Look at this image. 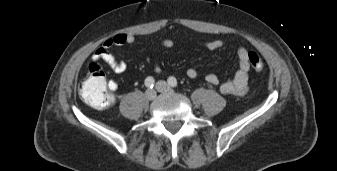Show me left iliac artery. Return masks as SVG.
I'll return each mask as SVG.
<instances>
[{"mask_svg": "<svg viewBox=\"0 0 337 171\" xmlns=\"http://www.w3.org/2000/svg\"><path fill=\"white\" fill-rule=\"evenodd\" d=\"M168 84L171 86V87H177V80L175 77H169L168 78Z\"/></svg>", "mask_w": 337, "mask_h": 171, "instance_id": "1", "label": "left iliac artery"}]
</instances>
